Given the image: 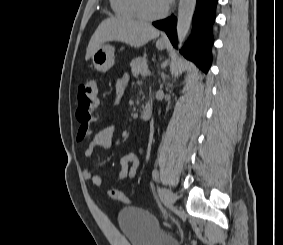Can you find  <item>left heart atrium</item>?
<instances>
[{
	"instance_id": "left-heart-atrium-1",
	"label": "left heart atrium",
	"mask_w": 283,
	"mask_h": 245,
	"mask_svg": "<svg viewBox=\"0 0 283 245\" xmlns=\"http://www.w3.org/2000/svg\"><path fill=\"white\" fill-rule=\"evenodd\" d=\"M172 0H166L167 3L171 2Z\"/></svg>"
}]
</instances>
